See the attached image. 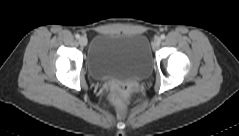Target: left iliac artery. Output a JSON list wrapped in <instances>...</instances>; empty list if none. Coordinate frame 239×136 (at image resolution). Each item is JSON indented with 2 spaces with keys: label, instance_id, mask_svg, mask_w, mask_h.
Wrapping results in <instances>:
<instances>
[{
  "label": "left iliac artery",
  "instance_id": "1",
  "mask_svg": "<svg viewBox=\"0 0 239 136\" xmlns=\"http://www.w3.org/2000/svg\"><path fill=\"white\" fill-rule=\"evenodd\" d=\"M160 38H161V39H165V35L162 34V35L160 36Z\"/></svg>",
  "mask_w": 239,
  "mask_h": 136
}]
</instances>
